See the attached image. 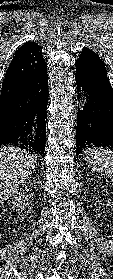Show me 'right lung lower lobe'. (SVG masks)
<instances>
[{"instance_id":"obj_1","label":"right lung lower lobe","mask_w":113,"mask_h":279,"mask_svg":"<svg viewBox=\"0 0 113 279\" xmlns=\"http://www.w3.org/2000/svg\"><path fill=\"white\" fill-rule=\"evenodd\" d=\"M48 96L46 67L0 110V146L44 155Z\"/></svg>"}]
</instances>
